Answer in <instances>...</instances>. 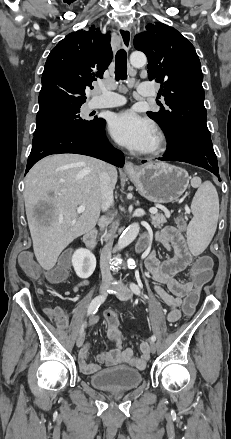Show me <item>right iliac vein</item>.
Instances as JSON below:
<instances>
[{
    "label": "right iliac vein",
    "instance_id": "obj_1",
    "mask_svg": "<svg viewBox=\"0 0 231 439\" xmlns=\"http://www.w3.org/2000/svg\"><path fill=\"white\" fill-rule=\"evenodd\" d=\"M109 288L110 286L107 284L102 285L99 290V295L105 297L107 295V292L109 291ZM84 338H85V333L83 331L77 339V343H76L77 347H81L83 345Z\"/></svg>",
    "mask_w": 231,
    "mask_h": 439
}]
</instances>
